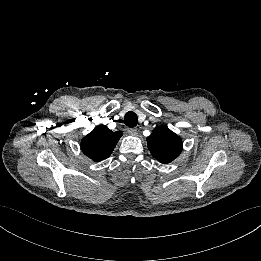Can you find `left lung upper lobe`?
<instances>
[{"label": "left lung upper lobe", "mask_w": 261, "mask_h": 261, "mask_svg": "<svg viewBox=\"0 0 261 261\" xmlns=\"http://www.w3.org/2000/svg\"><path fill=\"white\" fill-rule=\"evenodd\" d=\"M147 143L152 156L161 163L173 161L182 151V139L167 126L154 128Z\"/></svg>", "instance_id": "obj_1"}]
</instances>
